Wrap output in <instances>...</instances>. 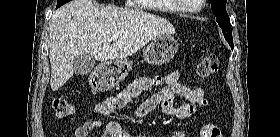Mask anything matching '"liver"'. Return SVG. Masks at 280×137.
<instances>
[{
	"mask_svg": "<svg viewBox=\"0 0 280 137\" xmlns=\"http://www.w3.org/2000/svg\"><path fill=\"white\" fill-rule=\"evenodd\" d=\"M50 85L62 87L74 73L76 56L99 61L123 60L149 41L175 33L166 19L139 9L99 7L92 0H73L57 9L49 24ZM118 39L111 42L112 36Z\"/></svg>",
	"mask_w": 280,
	"mask_h": 137,
	"instance_id": "liver-1",
	"label": "liver"
}]
</instances>
